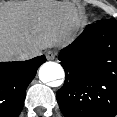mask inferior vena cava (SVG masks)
Here are the masks:
<instances>
[{"label": "inferior vena cava", "instance_id": "1", "mask_svg": "<svg viewBox=\"0 0 117 117\" xmlns=\"http://www.w3.org/2000/svg\"><path fill=\"white\" fill-rule=\"evenodd\" d=\"M35 55H37V51H35L34 49H28L21 54V58L26 59Z\"/></svg>", "mask_w": 117, "mask_h": 117}]
</instances>
